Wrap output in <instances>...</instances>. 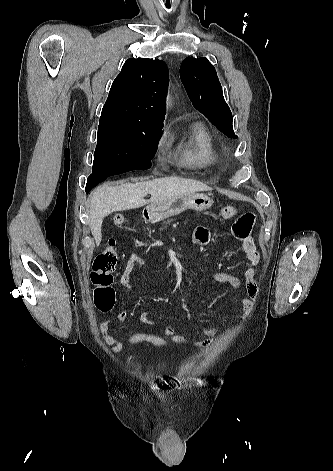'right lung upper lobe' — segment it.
Masks as SVG:
<instances>
[{
  "mask_svg": "<svg viewBox=\"0 0 333 471\" xmlns=\"http://www.w3.org/2000/svg\"><path fill=\"white\" fill-rule=\"evenodd\" d=\"M168 68L158 59H128L112 83L100 119L163 123Z\"/></svg>",
  "mask_w": 333,
  "mask_h": 471,
  "instance_id": "1",
  "label": "right lung upper lobe"
}]
</instances>
